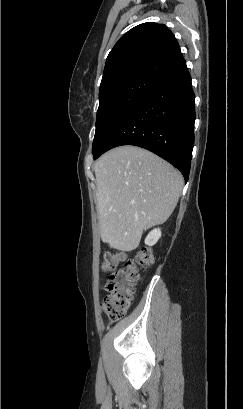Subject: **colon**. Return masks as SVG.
Returning a JSON list of instances; mask_svg holds the SVG:
<instances>
[{"label": "colon", "mask_w": 243, "mask_h": 409, "mask_svg": "<svg viewBox=\"0 0 243 409\" xmlns=\"http://www.w3.org/2000/svg\"><path fill=\"white\" fill-rule=\"evenodd\" d=\"M125 254L120 251L106 252L101 262L104 272H111L106 288L109 295L101 302L102 310L109 323L122 319L130 308L136 285L140 280L139 267L149 268L154 264L152 250L148 247L137 250L133 259L127 261L123 269H118Z\"/></svg>", "instance_id": "5ec220e1"}]
</instances>
